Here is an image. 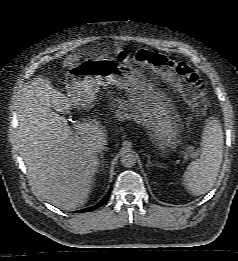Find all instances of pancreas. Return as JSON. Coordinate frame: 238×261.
Returning a JSON list of instances; mask_svg holds the SVG:
<instances>
[{
    "mask_svg": "<svg viewBox=\"0 0 238 261\" xmlns=\"http://www.w3.org/2000/svg\"><path fill=\"white\" fill-rule=\"evenodd\" d=\"M112 106L114 109L118 108L117 110H115V114L119 121H125L131 119L135 121L141 120V116L138 113V109L131 104H126L125 102L118 100L117 105L113 104ZM189 150H193V148L190 147Z\"/></svg>",
    "mask_w": 238,
    "mask_h": 261,
    "instance_id": "obj_1",
    "label": "pancreas"
}]
</instances>
